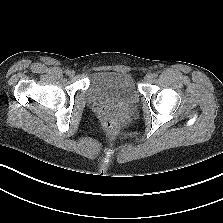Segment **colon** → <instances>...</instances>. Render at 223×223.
Wrapping results in <instances>:
<instances>
[{"label": "colon", "mask_w": 223, "mask_h": 223, "mask_svg": "<svg viewBox=\"0 0 223 223\" xmlns=\"http://www.w3.org/2000/svg\"><path fill=\"white\" fill-rule=\"evenodd\" d=\"M103 125H104V128L106 129V131L111 133L116 130L117 122L114 119V117H112L111 115H106L103 120Z\"/></svg>", "instance_id": "colon-1"}]
</instances>
